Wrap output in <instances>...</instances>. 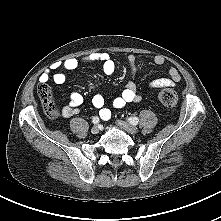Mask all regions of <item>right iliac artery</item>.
<instances>
[{"label":"right iliac artery","instance_id":"82829eb1","mask_svg":"<svg viewBox=\"0 0 221 221\" xmlns=\"http://www.w3.org/2000/svg\"><path fill=\"white\" fill-rule=\"evenodd\" d=\"M92 122H93L94 124L99 123V117H97V116L93 117Z\"/></svg>","mask_w":221,"mask_h":221}]
</instances>
